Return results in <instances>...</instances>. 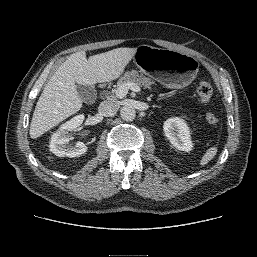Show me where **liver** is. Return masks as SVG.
<instances>
[{
    "label": "liver",
    "mask_w": 257,
    "mask_h": 257,
    "mask_svg": "<svg viewBox=\"0 0 257 257\" xmlns=\"http://www.w3.org/2000/svg\"><path fill=\"white\" fill-rule=\"evenodd\" d=\"M136 48H117L86 58L84 51L72 54L49 79L36 104L30 137L36 139L79 111L82 99L77 85L93 86L120 77Z\"/></svg>",
    "instance_id": "liver-1"
}]
</instances>
